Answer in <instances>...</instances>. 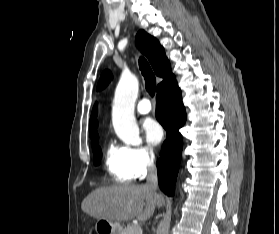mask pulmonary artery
Masks as SVG:
<instances>
[{
	"label": "pulmonary artery",
	"mask_w": 279,
	"mask_h": 234,
	"mask_svg": "<svg viewBox=\"0 0 279 234\" xmlns=\"http://www.w3.org/2000/svg\"><path fill=\"white\" fill-rule=\"evenodd\" d=\"M152 109L150 101L146 98L140 100L137 104L136 110L139 114H148Z\"/></svg>",
	"instance_id": "obj_1"
}]
</instances>
